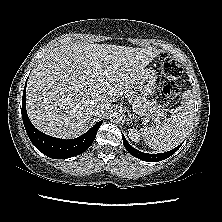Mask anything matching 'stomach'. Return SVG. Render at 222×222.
I'll return each instance as SVG.
<instances>
[{
  "mask_svg": "<svg viewBox=\"0 0 222 222\" xmlns=\"http://www.w3.org/2000/svg\"><path fill=\"white\" fill-rule=\"evenodd\" d=\"M156 73L151 69H144L136 80V87L144 96L151 95L155 89Z\"/></svg>",
  "mask_w": 222,
  "mask_h": 222,
  "instance_id": "1",
  "label": "stomach"
}]
</instances>
